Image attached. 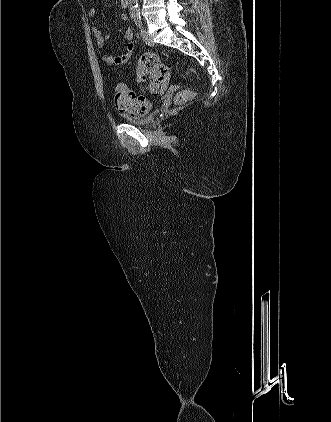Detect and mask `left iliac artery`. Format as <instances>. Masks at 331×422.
I'll use <instances>...</instances> for the list:
<instances>
[{"mask_svg": "<svg viewBox=\"0 0 331 422\" xmlns=\"http://www.w3.org/2000/svg\"><path fill=\"white\" fill-rule=\"evenodd\" d=\"M132 17L134 19L135 24L141 28L142 27V21H141V15L138 10L133 11Z\"/></svg>", "mask_w": 331, "mask_h": 422, "instance_id": "44dca946", "label": "left iliac artery"}]
</instances>
